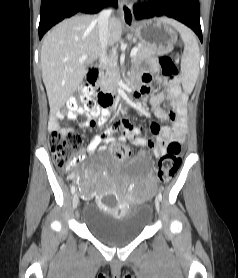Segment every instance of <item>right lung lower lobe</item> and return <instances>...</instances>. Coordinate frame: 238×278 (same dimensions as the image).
<instances>
[{
    "label": "right lung lower lobe",
    "mask_w": 238,
    "mask_h": 278,
    "mask_svg": "<svg viewBox=\"0 0 238 278\" xmlns=\"http://www.w3.org/2000/svg\"><path fill=\"white\" fill-rule=\"evenodd\" d=\"M110 4L116 7L117 0H42L39 38L64 18L80 12L94 14Z\"/></svg>",
    "instance_id": "1"
}]
</instances>
